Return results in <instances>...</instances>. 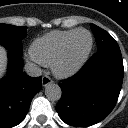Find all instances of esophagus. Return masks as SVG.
Listing matches in <instances>:
<instances>
[{
    "mask_svg": "<svg viewBox=\"0 0 128 128\" xmlns=\"http://www.w3.org/2000/svg\"><path fill=\"white\" fill-rule=\"evenodd\" d=\"M53 81H52V79L49 77V76H47V75H44L43 77H42V85L45 87V86H47V85H49V84H51Z\"/></svg>",
    "mask_w": 128,
    "mask_h": 128,
    "instance_id": "1",
    "label": "esophagus"
}]
</instances>
